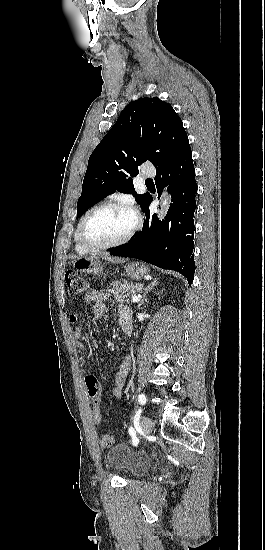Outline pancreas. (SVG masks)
<instances>
[{"instance_id": "1", "label": "pancreas", "mask_w": 265, "mask_h": 550, "mask_svg": "<svg viewBox=\"0 0 265 550\" xmlns=\"http://www.w3.org/2000/svg\"><path fill=\"white\" fill-rule=\"evenodd\" d=\"M142 287L143 285L141 284H134L127 280H122L113 282L108 291L114 296L117 302L123 303L124 301L128 302L129 298H133L136 291H140Z\"/></svg>"}]
</instances>
